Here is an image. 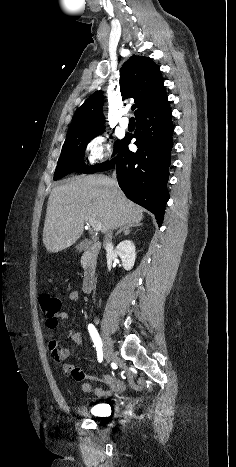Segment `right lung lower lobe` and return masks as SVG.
Listing matches in <instances>:
<instances>
[{"instance_id":"98d812e1","label":"right lung lower lobe","mask_w":236,"mask_h":467,"mask_svg":"<svg viewBox=\"0 0 236 467\" xmlns=\"http://www.w3.org/2000/svg\"><path fill=\"white\" fill-rule=\"evenodd\" d=\"M171 117L167 97L138 115L133 136L138 150L129 151L132 137L126 136L116 157L97 170H109L116 165L120 188L130 200L152 212L159 226L169 199L166 183L172 149Z\"/></svg>"}]
</instances>
